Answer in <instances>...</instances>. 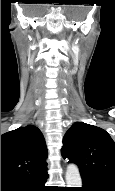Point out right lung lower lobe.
I'll return each instance as SVG.
<instances>
[{
  "label": "right lung lower lobe",
  "instance_id": "obj_1",
  "mask_svg": "<svg viewBox=\"0 0 115 191\" xmlns=\"http://www.w3.org/2000/svg\"><path fill=\"white\" fill-rule=\"evenodd\" d=\"M48 174L19 182H1V191H48L45 186Z\"/></svg>",
  "mask_w": 115,
  "mask_h": 191
}]
</instances>
